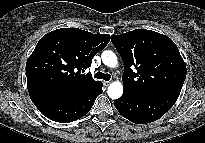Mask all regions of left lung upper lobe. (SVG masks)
Masks as SVG:
<instances>
[{
	"instance_id": "1",
	"label": "left lung upper lobe",
	"mask_w": 205,
	"mask_h": 143,
	"mask_svg": "<svg viewBox=\"0 0 205 143\" xmlns=\"http://www.w3.org/2000/svg\"><path fill=\"white\" fill-rule=\"evenodd\" d=\"M111 41L124 62L125 92L144 94L169 88L181 90L186 66L169 37L151 30L135 29L112 35Z\"/></svg>"
}]
</instances>
